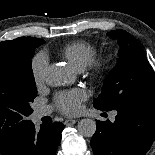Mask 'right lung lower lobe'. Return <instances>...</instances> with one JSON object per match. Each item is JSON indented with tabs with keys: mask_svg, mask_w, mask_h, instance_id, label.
<instances>
[{
	"mask_svg": "<svg viewBox=\"0 0 155 155\" xmlns=\"http://www.w3.org/2000/svg\"><path fill=\"white\" fill-rule=\"evenodd\" d=\"M64 127L55 122L41 125L38 131L31 123L12 142L0 147V155H55Z\"/></svg>",
	"mask_w": 155,
	"mask_h": 155,
	"instance_id": "obj_1",
	"label": "right lung lower lobe"
}]
</instances>
